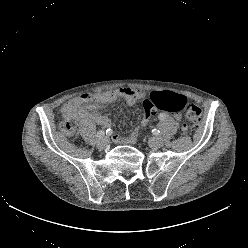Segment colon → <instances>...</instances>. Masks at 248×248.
Masks as SVG:
<instances>
[{
	"mask_svg": "<svg viewBox=\"0 0 248 248\" xmlns=\"http://www.w3.org/2000/svg\"><path fill=\"white\" fill-rule=\"evenodd\" d=\"M157 110L166 112L183 111L193 129H197L202 120V110L195 104L189 102L184 96L169 92H154L143 103L142 127H146L150 118ZM60 128L67 135H73V127L65 122Z\"/></svg>",
	"mask_w": 248,
	"mask_h": 248,
	"instance_id": "obj_1",
	"label": "colon"
}]
</instances>
